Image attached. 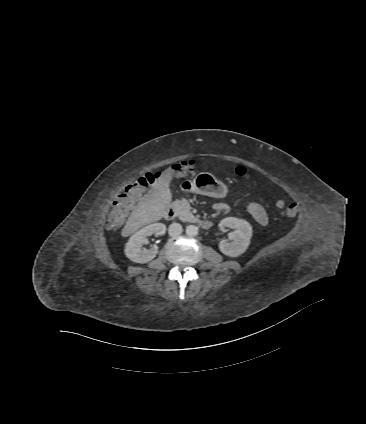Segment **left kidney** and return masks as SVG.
<instances>
[{
    "label": "left kidney",
    "mask_w": 366,
    "mask_h": 424,
    "mask_svg": "<svg viewBox=\"0 0 366 424\" xmlns=\"http://www.w3.org/2000/svg\"><path fill=\"white\" fill-rule=\"evenodd\" d=\"M219 227L235 229L229 233L231 242L226 240L219 242V249L224 255L237 257L246 251L252 237V226L249 222L235 217H227L220 221Z\"/></svg>",
    "instance_id": "left-kidney-1"
}]
</instances>
